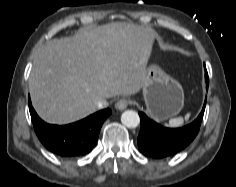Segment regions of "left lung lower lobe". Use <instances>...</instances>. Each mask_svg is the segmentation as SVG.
<instances>
[{"mask_svg": "<svg viewBox=\"0 0 236 187\" xmlns=\"http://www.w3.org/2000/svg\"><path fill=\"white\" fill-rule=\"evenodd\" d=\"M206 82L208 85V78H206ZM205 106L206 99L198 117L182 128L163 127L148 118L143 112H139L141 119V130L138 135L139 151L147 157L161 159L183 150L198 134Z\"/></svg>", "mask_w": 236, "mask_h": 187, "instance_id": "0a47b994", "label": "left lung lower lobe"}]
</instances>
